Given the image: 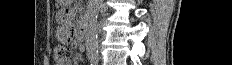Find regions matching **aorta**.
<instances>
[{
  "label": "aorta",
  "mask_w": 232,
  "mask_h": 65,
  "mask_svg": "<svg viewBox=\"0 0 232 65\" xmlns=\"http://www.w3.org/2000/svg\"><path fill=\"white\" fill-rule=\"evenodd\" d=\"M103 0H88L84 15V36L87 55L90 58L97 56V18Z\"/></svg>",
  "instance_id": "1"
}]
</instances>
